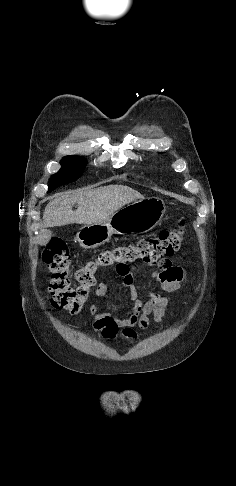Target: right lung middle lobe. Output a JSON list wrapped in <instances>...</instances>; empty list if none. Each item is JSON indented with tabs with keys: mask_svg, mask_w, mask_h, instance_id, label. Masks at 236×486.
<instances>
[{
	"mask_svg": "<svg viewBox=\"0 0 236 486\" xmlns=\"http://www.w3.org/2000/svg\"><path fill=\"white\" fill-rule=\"evenodd\" d=\"M86 165V159L80 156H65L61 160V169L50 179L49 191L51 192L60 185L75 181Z\"/></svg>",
	"mask_w": 236,
	"mask_h": 486,
	"instance_id": "1",
	"label": "right lung middle lobe"
}]
</instances>
